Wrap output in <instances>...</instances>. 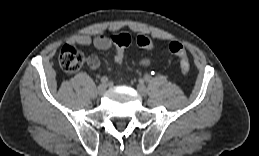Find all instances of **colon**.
Masks as SVG:
<instances>
[{
    "label": "colon",
    "instance_id": "obj_1",
    "mask_svg": "<svg viewBox=\"0 0 259 156\" xmlns=\"http://www.w3.org/2000/svg\"><path fill=\"white\" fill-rule=\"evenodd\" d=\"M111 39L116 47L115 61L121 65L124 59V51L133 42V38L130 34L120 33L112 36ZM134 41L142 49H153V42L147 36L137 35L134 38ZM169 51L179 59L181 72L183 74H187L190 69V63L183 44L173 41L169 44ZM58 61L60 67L65 73L73 74L80 70L84 65V56L74 45L67 44L61 49Z\"/></svg>",
    "mask_w": 259,
    "mask_h": 156
}]
</instances>
